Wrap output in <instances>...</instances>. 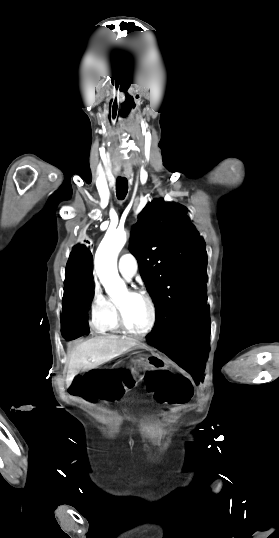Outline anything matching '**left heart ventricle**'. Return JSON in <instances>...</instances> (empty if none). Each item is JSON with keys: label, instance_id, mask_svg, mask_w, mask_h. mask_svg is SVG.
I'll return each instance as SVG.
<instances>
[{"label": "left heart ventricle", "instance_id": "left-heart-ventricle-1", "mask_svg": "<svg viewBox=\"0 0 279 538\" xmlns=\"http://www.w3.org/2000/svg\"><path fill=\"white\" fill-rule=\"evenodd\" d=\"M117 298L124 302L128 326L135 331L144 330L150 320V309L146 301L140 297L131 296L127 290L121 292Z\"/></svg>", "mask_w": 279, "mask_h": 538}]
</instances>
